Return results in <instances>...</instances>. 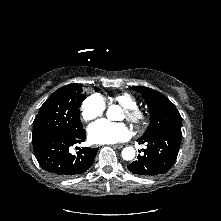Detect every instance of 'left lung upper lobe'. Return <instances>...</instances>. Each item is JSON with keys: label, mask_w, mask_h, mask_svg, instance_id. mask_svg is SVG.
Returning <instances> with one entry per match:
<instances>
[{"label": "left lung upper lobe", "mask_w": 221, "mask_h": 221, "mask_svg": "<svg viewBox=\"0 0 221 221\" xmlns=\"http://www.w3.org/2000/svg\"><path fill=\"white\" fill-rule=\"evenodd\" d=\"M132 88L140 92L150 112V125L140 138L164 130L181 132L182 117L176 106L167 97L148 87L136 86Z\"/></svg>", "instance_id": "obj_1"}]
</instances>
